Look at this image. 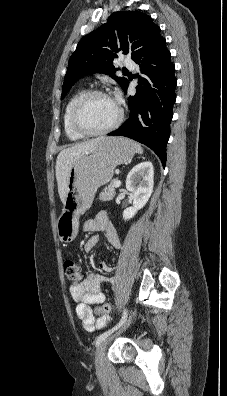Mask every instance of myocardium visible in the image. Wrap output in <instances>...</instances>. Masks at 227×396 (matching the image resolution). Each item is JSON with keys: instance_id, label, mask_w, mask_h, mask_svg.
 Listing matches in <instances>:
<instances>
[{"instance_id": "myocardium-1", "label": "myocardium", "mask_w": 227, "mask_h": 396, "mask_svg": "<svg viewBox=\"0 0 227 396\" xmlns=\"http://www.w3.org/2000/svg\"><path fill=\"white\" fill-rule=\"evenodd\" d=\"M93 96L109 97V95L106 92L99 90V89H90V90L84 91L75 101L73 108H72V112H71V123H72L73 128L77 132H79L85 136H96V135L107 134V133L115 130L122 123L123 118H124L123 109L120 106H118V116L112 124H110L109 126H107L105 128H102V129L88 128L81 120V111H82V108H83L85 102Z\"/></svg>"}]
</instances>
